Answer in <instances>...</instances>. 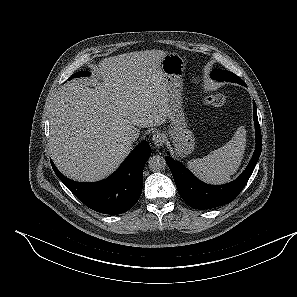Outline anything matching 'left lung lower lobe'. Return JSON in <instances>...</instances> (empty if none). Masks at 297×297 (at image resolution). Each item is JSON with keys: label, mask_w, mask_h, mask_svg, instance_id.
Wrapping results in <instances>:
<instances>
[{"label": "left lung lower lobe", "mask_w": 297, "mask_h": 297, "mask_svg": "<svg viewBox=\"0 0 297 297\" xmlns=\"http://www.w3.org/2000/svg\"><path fill=\"white\" fill-rule=\"evenodd\" d=\"M253 114L256 131V146L252 159L242 174L233 182L213 186L197 179L183 164L166 156L178 192L182 199L192 208L210 209L232 202L249 180L262 150L261 130L257 117L256 104L253 101Z\"/></svg>", "instance_id": "1"}]
</instances>
